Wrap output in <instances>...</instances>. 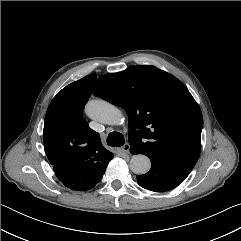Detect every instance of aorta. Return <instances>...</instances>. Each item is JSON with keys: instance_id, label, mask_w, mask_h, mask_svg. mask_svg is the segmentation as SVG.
Wrapping results in <instances>:
<instances>
[{"instance_id": "obj_1", "label": "aorta", "mask_w": 241, "mask_h": 241, "mask_svg": "<svg viewBox=\"0 0 241 241\" xmlns=\"http://www.w3.org/2000/svg\"><path fill=\"white\" fill-rule=\"evenodd\" d=\"M85 112L89 118L104 124L121 125L124 122L122 111L105 100L89 101L86 104ZM150 167V159L144 154H135L130 160V169L135 174H145Z\"/></svg>"}]
</instances>
